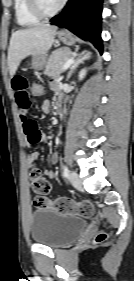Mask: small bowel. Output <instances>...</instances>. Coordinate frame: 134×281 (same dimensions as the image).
<instances>
[{"mask_svg": "<svg viewBox=\"0 0 134 281\" xmlns=\"http://www.w3.org/2000/svg\"><path fill=\"white\" fill-rule=\"evenodd\" d=\"M11 86L15 95V99L20 111V120L23 126L24 133L26 135L27 143L34 145L45 141V136L39 129L36 121L30 118L29 111L31 108V93H30V81L25 74H15L11 79ZM60 86V79L54 77L51 79V88L57 90ZM58 153L54 152L50 157L51 164H56L58 161ZM39 159V154L33 152L27 156V163L30 168L35 167V163ZM44 176L48 178L54 177V172L51 169L43 170Z\"/></svg>", "mask_w": 134, "mask_h": 281, "instance_id": "c3829d8e", "label": "small bowel"}]
</instances>
